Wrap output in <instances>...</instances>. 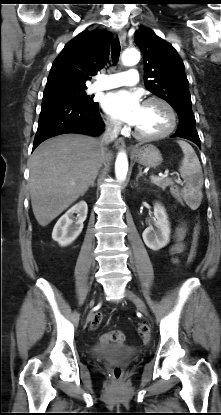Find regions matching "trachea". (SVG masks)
<instances>
[{"mask_svg": "<svg viewBox=\"0 0 221 415\" xmlns=\"http://www.w3.org/2000/svg\"><path fill=\"white\" fill-rule=\"evenodd\" d=\"M120 50H121L120 42L118 38H116L111 45V56H112V60L114 63H117L119 59Z\"/></svg>", "mask_w": 221, "mask_h": 415, "instance_id": "trachea-1", "label": "trachea"}]
</instances>
